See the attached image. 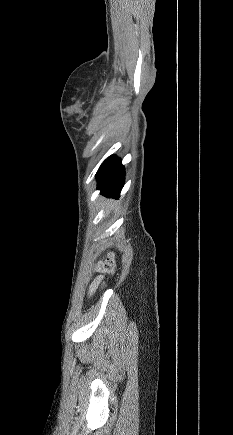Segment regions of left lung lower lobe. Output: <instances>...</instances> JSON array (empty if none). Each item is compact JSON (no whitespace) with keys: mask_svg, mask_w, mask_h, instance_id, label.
Instances as JSON below:
<instances>
[{"mask_svg":"<svg viewBox=\"0 0 233 435\" xmlns=\"http://www.w3.org/2000/svg\"><path fill=\"white\" fill-rule=\"evenodd\" d=\"M98 185L103 194L108 197H118L124 184V167L121 160L112 155L100 166L97 172Z\"/></svg>","mask_w":233,"mask_h":435,"instance_id":"1","label":"left lung lower lobe"}]
</instances>
